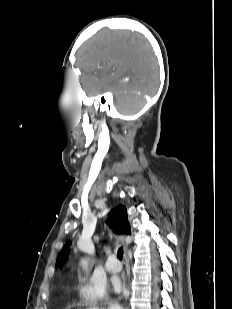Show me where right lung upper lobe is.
<instances>
[{"instance_id": "obj_1", "label": "right lung upper lobe", "mask_w": 232, "mask_h": 309, "mask_svg": "<svg viewBox=\"0 0 232 309\" xmlns=\"http://www.w3.org/2000/svg\"><path fill=\"white\" fill-rule=\"evenodd\" d=\"M107 224L111 228H114L116 233L130 234L131 232L130 225L127 220V211L126 208L122 205L115 207L110 212V217L107 220ZM69 245L70 242L66 243L63 246L61 252L59 253V256L57 257L56 267H61L67 261L69 255Z\"/></svg>"}]
</instances>
